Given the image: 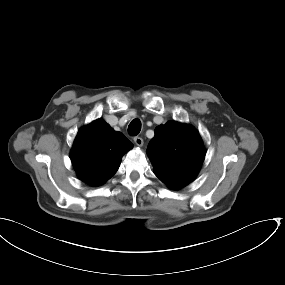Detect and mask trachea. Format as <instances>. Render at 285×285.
Returning a JSON list of instances; mask_svg holds the SVG:
<instances>
[{"label":"trachea","mask_w":285,"mask_h":285,"mask_svg":"<svg viewBox=\"0 0 285 285\" xmlns=\"http://www.w3.org/2000/svg\"><path fill=\"white\" fill-rule=\"evenodd\" d=\"M141 122L139 119H134L128 126V133L131 136H136L140 133Z\"/></svg>","instance_id":"obj_1"}]
</instances>
